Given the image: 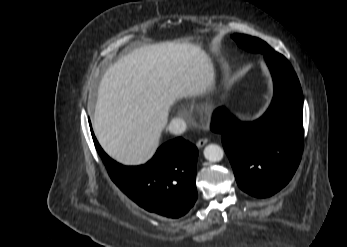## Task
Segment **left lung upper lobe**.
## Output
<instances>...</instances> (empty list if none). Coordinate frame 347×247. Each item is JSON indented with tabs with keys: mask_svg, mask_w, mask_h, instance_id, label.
<instances>
[{
	"mask_svg": "<svg viewBox=\"0 0 347 247\" xmlns=\"http://www.w3.org/2000/svg\"><path fill=\"white\" fill-rule=\"evenodd\" d=\"M233 38L240 47L248 51L260 52L267 55L276 53L267 43L258 38L240 34H234Z\"/></svg>",
	"mask_w": 347,
	"mask_h": 247,
	"instance_id": "left-lung-upper-lobe-1",
	"label": "left lung upper lobe"
}]
</instances>
